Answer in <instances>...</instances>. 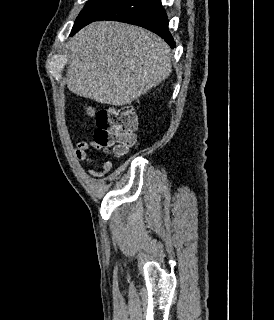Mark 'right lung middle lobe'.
<instances>
[{
  "label": "right lung middle lobe",
  "instance_id": "dd1d6c3e",
  "mask_svg": "<svg viewBox=\"0 0 274 320\" xmlns=\"http://www.w3.org/2000/svg\"><path fill=\"white\" fill-rule=\"evenodd\" d=\"M121 1L122 0H89L78 15L72 31H76L77 29L93 22L101 14L110 10Z\"/></svg>",
  "mask_w": 274,
  "mask_h": 320
}]
</instances>
